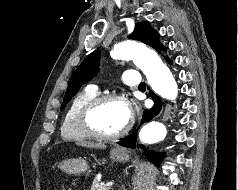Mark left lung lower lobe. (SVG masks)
Listing matches in <instances>:
<instances>
[{
	"instance_id": "0a47b994",
	"label": "left lung lower lobe",
	"mask_w": 238,
	"mask_h": 190,
	"mask_svg": "<svg viewBox=\"0 0 238 190\" xmlns=\"http://www.w3.org/2000/svg\"><path fill=\"white\" fill-rule=\"evenodd\" d=\"M166 60L169 63H171L169 58H166ZM150 96L153 98L155 105L151 108L150 111L145 110L143 112L142 122L150 121L154 116H156L160 112L161 107H162V103H161V101L159 100V98L157 96H155L153 93H151ZM136 133H137V130L135 132H133L131 135H129L128 137L123 138L121 141H119L117 143L121 146L128 147V148L135 147V145H136ZM137 147L144 148L143 145H137ZM144 152H145V155L149 159L153 160L157 164L160 163V161L162 159V156H163L162 154L152 153V152H149L148 150H145V149H144Z\"/></svg>"
}]
</instances>
